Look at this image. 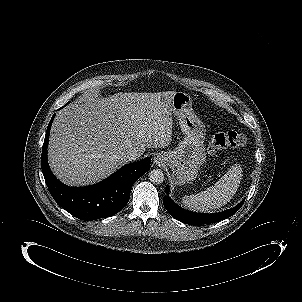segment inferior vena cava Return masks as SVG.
Listing matches in <instances>:
<instances>
[{
    "instance_id": "1",
    "label": "inferior vena cava",
    "mask_w": 302,
    "mask_h": 302,
    "mask_svg": "<svg viewBox=\"0 0 302 302\" xmlns=\"http://www.w3.org/2000/svg\"><path fill=\"white\" fill-rule=\"evenodd\" d=\"M142 153L138 152L137 150H131L124 154L123 158L126 160V162H131L137 160Z\"/></svg>"
}]
</instances>
